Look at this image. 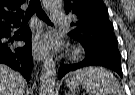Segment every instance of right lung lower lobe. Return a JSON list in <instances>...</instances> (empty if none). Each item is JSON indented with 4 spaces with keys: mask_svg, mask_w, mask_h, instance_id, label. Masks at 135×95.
I'll return each instance as SVG.
<instances>
[{
    "mask_svg": "<svg viewBox=\"0 0 135 95\" xmlns=\"http://www.w3.org/2000/svg\"><path fill=\"white\" fill-rule=\"evenodd\" d=\"M10 33L11 26L0 28V64H6L12 69L19 71L28 82L33 66L31 31L27 27L24 33L16 38V40L26 42V45L23 47H13L10 43L11 41L13 42L12 38L9 41L4 40V38L10 36Z\"/></svg>",
    "mask_w": 135,
    "mask_h": 95,
    "instance_id": "right-lung-lower-lobe-1",
    "label": "right lung lower lobe"
}]
</instances>
